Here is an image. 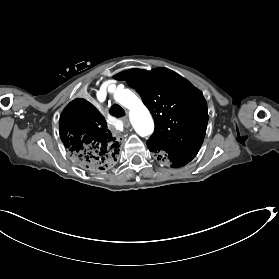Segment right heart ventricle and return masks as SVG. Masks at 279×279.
I'll return each instance as SVG.
<instances>
[{
    "instance_id": "1",
    "label": "right heart ventricle",
    "mask_w": 279,
    "mask_h": 279,
    "mask_svg": "<svg viewBox=\"0 0 279 279\" xmlns=\"http://www.w3.org/2000/svg\"><path fill=\"white\" fill-rule=\"evenodd\" d=\"M100 60L101 56L94 54L92 56L83 57L82 63L88 66H95L93 71L97 72L102 68L101 65L97 64ZM106 87H109L110 90L115 93V102L125 110L131 106L132 100L138 95L134 90L124 88L123 86L115 87L113 85H101L98 92L103 93Z\"/></svg>"
}]
</instances>
